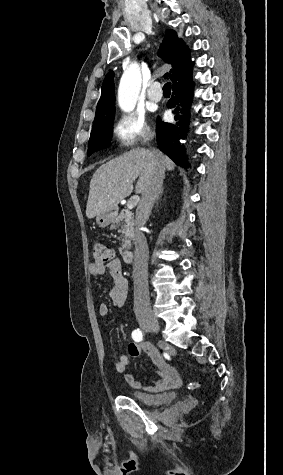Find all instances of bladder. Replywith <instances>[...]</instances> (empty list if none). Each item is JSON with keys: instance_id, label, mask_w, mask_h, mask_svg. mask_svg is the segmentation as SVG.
I'll return each mask as SVG.
<instances>
[{"instance_id": "31cf9c89", "label": "bladder", "mask_w": 283, "mask_h": 475, "mask_svg": "<svg viewBox=\"0 0 283 475\" xmlns=\"http://www.w3.org/2000/svg\"><path fill=\"white\" fill-rule=\"evenodd\" d=\"M129 397L132 400H136L140 403H143L146 406H155L158 404H164L169 401L175 402L177 400L176 393H159V394H149L145 391L132 390L129 394Z\"/></svg>"}]
</instances>
